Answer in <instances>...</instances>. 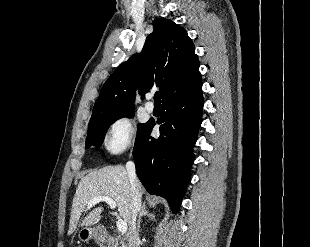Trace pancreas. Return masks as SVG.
I'll return each mask as SVG.
<instances>
[{
    "instance_id": "cf45deb5",
    "label": "pancreas",
    "mask_w": 310,
    "mask_h": 247,
    "mask_svg": "<svg viewBox=\"0 0 310 247\" xmlns=\"http://www.w3.org/2000/svg\"><path fill=\"white\" fill-rule=\"evenodd\" d=\"M120 244H121V247H126V245L123 241H121Z\"/></svg>"
}]
</instances>
